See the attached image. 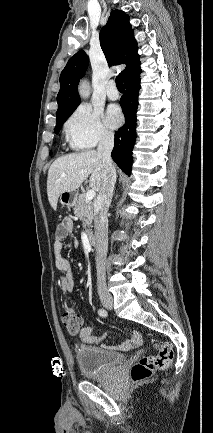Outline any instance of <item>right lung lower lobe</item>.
<instances>
[{"label":"right lung lower lobe","instance_id":"1","mask_svg":"<svg viewBox=\"0 0 213 433\" xmlns=\"http://www.w3.org/2000/svg\"><path fill=\"white\" fill-rule=\"evenodd\" d=\"M140 65L124 79L126 92L120 99L125 124L115 132L112 159L126 173H131L132 150L136 139V111L140 89Z\"/></svg>","mask_w":213,"mask_h":433}]
</instances>
